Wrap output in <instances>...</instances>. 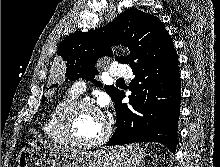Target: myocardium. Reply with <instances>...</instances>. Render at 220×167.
<instances>
[{"instance_id": "obj_1", "label": "myocardium", "mask_w": 220, "mask_h": 167, "mask_svg": "<svg viewBox=\"0 0 220 167\" xmlns=\"http://www.w3.org/2000/svg\"><path fill=\"white\" fill-rule=\"evenodd\" d=\"M81 108L92 109L102 114L99 108L88 100L76 99L72 101L66 107H64L58 118L57 127L61 137L67 144L81 148H94L105 144L109 140L112 133V125L105 116H103L105 120V129L99 138L91 141H83L74 137L71 132V122L75 113Z\"/></svg>"}]
</instances>
